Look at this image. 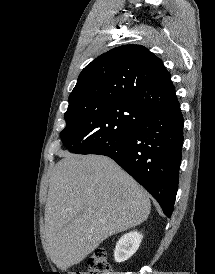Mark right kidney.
Here are the masks:
<instances>
[{"mask_svg":"<svg viewBox=\"0 0 215 274\" xmlns=\"http://www.w3.org/2000/svg\"><path fill=\"white\" fill-rule=\"evenodd\" d=\"M142 238V234L137 231L123 235L116 243L114 250L115 261L120 263L129 259L138 250Z\"/></svg>","mask_w":215,"mask_h":274,"instance_id":"1","label":"right kidney"}]
</instances>
